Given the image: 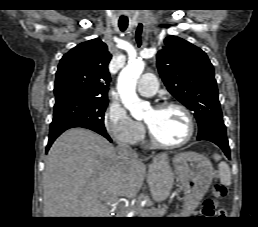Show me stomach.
Wrapping results in <instances>:
<instances>
[{
	"label": "stomach",
	"instance_id": "obj_1",
	"mask_svg": "<svg viewBox=\"0 0 258 227\" xmlns=\"http://www.w3.org/2000/svg\"><path fill=\"white\" fill-rule=\"evenodd\" d=\"M172 164L179 174L184 191V209L189 212L194 208L195 200L209 189L213 179V166L209 159L196 152L176 154Z\"/></svg>",
	"mask_w": 258,
	"mask_h": 227
}]
</instances>
